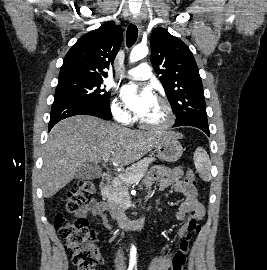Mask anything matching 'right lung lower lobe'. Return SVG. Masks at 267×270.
Listing matches in <instances>:
<instances>
[{
  "instance_id": "right-lung-lower-lobe-1",
  "label": "right lung lower lobe",
  "mask_w": 267,
  "mask_h": 270,
  "mask_svg": "<svg viewBox=\"0 0 267 270\" xmlns=\"http://www.w3.org/2000/svg\"><path fill=\"white\" fill-rule=\"evenodd\" d=\"M74 115H92L104 120L112 118L110 105L54 102L51 109L48 131L62 119Z\"/></svg>"
}]
</instances>
